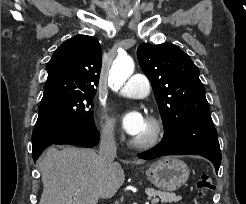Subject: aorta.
Listing matches in <instances>:
<instances>
[{
    "instance_id": "aorta-1",
    "label": "aorta",
    "mask_w": 246,
    "mask_h": 204,
    "mask_svg": "<svg viewBox=\"0 0 246 204\" xmlns=\"http://www.w3.org/2000/svg\"><path fill=\"white\" fill-rule=\"evenodd\" d=\"M134 61L128 55L118 56L110 70L109 82L114 86L123 85L134 71Z\"/></svg>"
}]
</instances>
